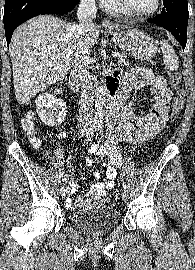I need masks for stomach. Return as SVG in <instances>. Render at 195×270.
<instances>
[{
    "label": "stomach",
    "instance_id": "1",
    "mask_svg": "<svg viewBox=\"0 0 195 270\" xmlns=\"http://www.w3.org/2000/svg\"><path fill=\"white\" fill-rule=\"evenodd\" d=\"M120 48L131 53L139 60H149L158 51L156 41L145 32L137 28H124L116 26L114 30H107Z\"/></svg>",
    "mask_w": 195,
    "mask_h": 270
}]
</instances>
